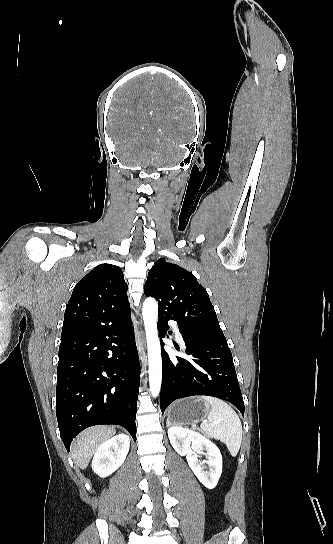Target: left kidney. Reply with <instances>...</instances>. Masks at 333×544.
I'll return each mask as SVG.
<instances>
[{
    "label": "left kidney",
    "instance_id": "left-kidney-1",
    "mask_svg": "<svg viewBox=\"0 0 333 544\" xmlns=\"http://www.w3.org/2000/svg\"><path fill=\"white\" fill-rule=\"evenodd\" d=\"M168 437L175 451L182 456H186L190 468L199 481L208 489H213L222 473L223 461L219 448L202 434L179 426L169 428ZM192 448L197 449V453H203V450L206 451L208 470L203 469L198 456L194 454Z\"/></svg>",
    "mask_w": 333,
    "mask_h": 544
}]
</instances>
